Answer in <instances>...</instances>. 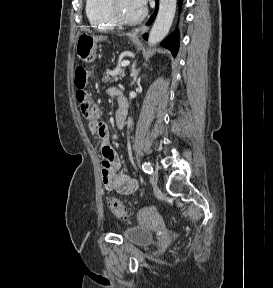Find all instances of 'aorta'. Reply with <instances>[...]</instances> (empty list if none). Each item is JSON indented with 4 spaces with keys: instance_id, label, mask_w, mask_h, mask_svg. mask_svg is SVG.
Segmentation results:
<instances>
[{
    "instance_id": "aorta-1",
    "label": "aorta",
    "mask_w": 273,
    "mask_h": 288,
    "mask_svg": "<svg viewBox=\"0 0 273 288\" xmlns=\"http://www.w3.org/2000/svg\"><path fill=\"white\" fill-rule=\"evenodd\" d=\"M177 0H160L159 11L149 33L148 45L154 46L168 34L176 12Z\"/></svg>"
}]
</instances>
